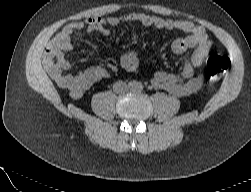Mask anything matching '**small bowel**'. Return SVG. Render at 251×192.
Listing matches in <instances>:
<instances>
[{
	"label": "small bowel",
	"instance_id": "1",
	"mask_svg": "<svg viewBox=\"0 0 251 192\" xmlns=\"http://www.w3.org/2000/svg\"><path fill=\"white\" fill-rule=\"evenodd\" d=\"M134 19L143 20L147 23H154L158 26L165 28H181L186 31L192 32V35L182 41H177L173 44V50L176 53H181L187 48L196 47L192 63L194 66H199L203 63L205 57L209 51V42L204 31L190 22L187 21H176L171 19H161L156 17H147L142 14L130 15ZM114 22V18H103L96 17L89 20V29L96 30L105 33L106 30L103 23ZM80 23H75L66 26L62 32L56 37L51 43L52 53L56 57L58 64L68 65L69 63L63 58L61 51L68 50L71 47L70 44V34L74 28L79 27ZM121 66L133 70L138 66V55L136 50H130L126 52L121 58ZM106 75L105 71L99 68H91L87 70L84 74H80L73 78V90L75 95H78L81 90L90 87L93 83L97 82ZM169 82L172 85L167 86V88L177 95H183L186 92L196 88L199 82L196 80H190L186 84H182L183 78L179 74H169L166 72H157L154 76V84L160 85L161 83Z\"/></svg>",
	"mask_w": 251,
	"mask_h": 192
}]
</instances>
